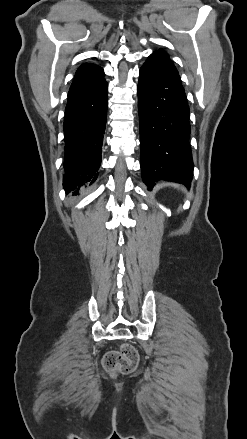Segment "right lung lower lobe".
Here are the masks:
<instances>
[{
	"mask_svg": "<svg viewBox=\"0 0 247 439\" xmlns=\"http://www.w3.org/2000/svg\"><path fill=\"white\" fill-rule=\"evenodd\" d=\"M106 81L87 91L68 94L65 109V175L67 192L92 184L101 164V147L108 102Z\"/></svg>",
	"mask_w": 247,
	"mask_h": 439,
	"instance_id": "obj_1",
	"label": "right lung lower lobe"
}]
</instances>
